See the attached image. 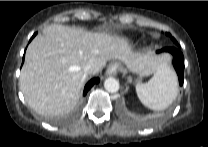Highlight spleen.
Listing matches in <instances>:
<instances>
[{
  "label": "spleen",
  "instance_id": "obj_1",
  "mask_svg": "<svg viewBox=\"0 0 208 147\" xmlns=\"http://www.w3.org/2000/svg\"><path fill=\"white\" fill-rule=\"evenodd\" d=\"M136 93L141 103L152 110L166 109L178 95L174 70L165 64L146 83H137Z\"/></svg>",
  "mask_w": 208,
  "mask_h": 147
}]
</instances>
